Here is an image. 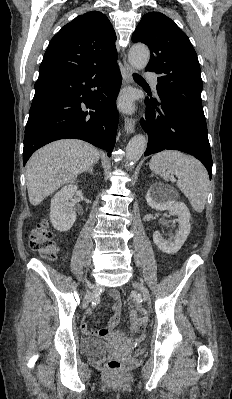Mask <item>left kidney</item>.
Returning <instances> with one entry per match:
<instances>
[{
    "mask_svg": "<svg viewBox=\"0 0 232 399\" xmlns=\"http://www.w3.org/2000/svg\"><path fill=\"white\" fill-rule=\"evenodd\" d=\"M146 200L153 209H168L171 215H177L179 225L175 235H170L169 239H164L160 231H154L153 233V241L162 251L176 253L183 245L185 239H187L191 229L190 211L187 205L182 203V201L166 200V190L162 188V184H152L146 194Z\"/></svg>",
    "mask_w": 232,
    "mask_h": 399,
    "instance_id": "left-kidney-1",
    "label": "left kidney"
}]
</instances>
